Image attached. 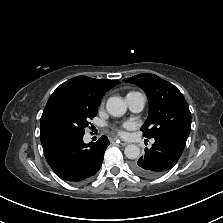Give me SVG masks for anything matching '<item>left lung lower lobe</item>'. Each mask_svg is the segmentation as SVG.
I'll return each mask as SVG.
<instances>
[{"label":"left lung lower lobe","instance_id":"1","mask_svg":"<svg viewBox=\"0 0 223 223\" xmlns=\"http://www.w3.org/2000/svg\"><path fill=\"white\" fill-rule=\"evenodd\" d=\"M150 149L132 164L133 171L146 178L157 177L171 169L180 158L186 140L175 134L158 136Z\"/></svg>","mask_w":223,"mask_h":223}]
</instances>
